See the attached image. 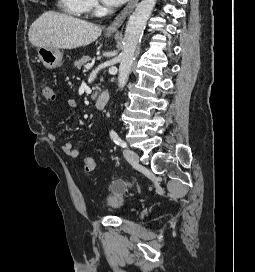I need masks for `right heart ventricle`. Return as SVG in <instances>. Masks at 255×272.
<instances>
[{"instance_id": "1", "label": "right heart ventricle", "mask_w": 255, "mask_h": 272, "mask_svg": "<svg viewBox=\"0 0 255 272\" xmlns=\"http://www.w3.org/2000/svg\"><path fill=\"white\" fill-rule=\"evenodd\" d=\"M59 8L74 16H80L85 12L83 0H58Z\"/></svg>"}]
</instances>
